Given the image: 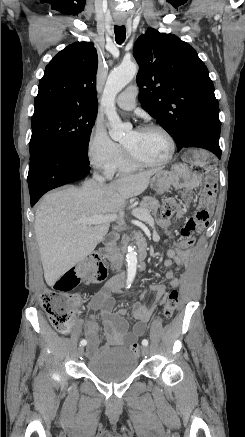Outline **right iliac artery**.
<instances>
[{"label":"right iliac artery","mask_w":245,"mask_h":437,"mask_svg":"<svg viewBox=\"0 0 245 437\" xmlns=\"http://www.w3.org/2000/svg\"><path fill=\"white\" fill-rule=\"evenodd\" d=\"M130 285H127V288H129ZM87 344V341L85 339L81 340L80 346H85Z\"/></svg>","instance_id":"obj_1"}]
</instances>
